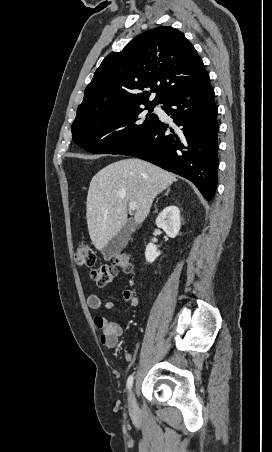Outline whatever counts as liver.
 Returning a JSON list of instances; mask_svg holds the SVG:
<instances>
[{"label": "liver", "mask_w": 272, "mask_h": 452, "mask_svg": "<svg viewBox=\"0 0 272 452\" xmlns=\"http://www.w3.org/2000/svg\"><path fill=\"white\" fill-rule=\"evenodd\" d=\"M176 181V177L147 161L128 158L97 172L89 186L86 217L91 241L102 250L127 222V206L136 202L135 224L150 212L155 197Z\"/></svg>", "instance_id": "1"}]
</instances>
